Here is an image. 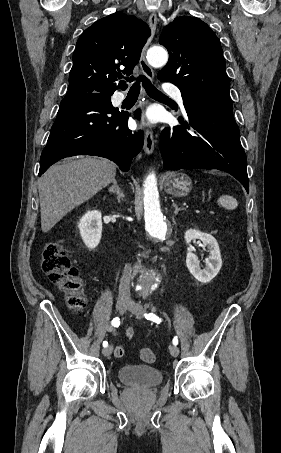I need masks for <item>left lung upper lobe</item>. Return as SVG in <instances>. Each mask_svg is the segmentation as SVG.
<instances>
[{
	"label": "left lung upper lobe",
	"mask_w": 281,
	"mask_h": 453,
	"mask_svg": "<svg viewBox=\"0 0 281 453\" xmlns=\"http://www.w3.org/2000/svg\"><path fill=\"white\" fill-rule=\"evenodd\" d=\"M159 43L167 48L169 61L158 79L175 84L184 104L231 101L220 41L205 22L179 16L163 29Z\"/></svg>",
	"instance_id": "5c2ea615"
}]
</instances>
